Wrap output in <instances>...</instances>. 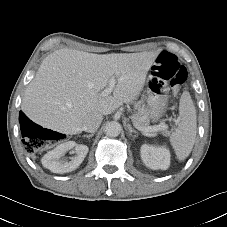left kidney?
Returning a JSON list of instances; mask_svg holds the SVG:
<instances>
[{
	"mask_svg": "<svg viewBox=\"0 0 227 227\" xmlns=\"http://www.w3.org/2000/svg\"><path fill=\"white\" fill-rule=\"evenodd\" d=\"M141 158L144 164L154 170H166L170 165V152L165 147L143 145L141 147Z\"/></svg>",
	"mask_w": 227,
	"mask_h": 227,
	"instance_id": "obj_1",
	"label": "left kidney"
}]
</instances>
